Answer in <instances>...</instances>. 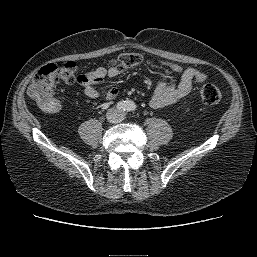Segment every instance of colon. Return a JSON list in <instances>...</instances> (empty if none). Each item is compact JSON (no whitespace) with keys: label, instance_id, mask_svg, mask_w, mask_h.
Returning a JSON list of instances; mask_svg holds the SVG:
<instances>
[{"label":"colon","instance_id":"1","mask_svg":"<svg viewBox=\"0 0 257 257\" xmlns=\"http://www.w3.org/2000/svg\"><path fill=\"white\" fill-rule=\"evenodd\" d=\"M143 60L144 57L140 53L125 52L112 60V66L116 67L121 72L141 64ZM164 64L175 72L183 71L179 65L171 63ZM195 76L198 81H204L206 78L205 75L198 70H196ZM80 80L81 75H77V66L74 62L68 61L61 66L48 64L35 74L31 85L28 87L27 93L43 110L54 113L61 108V101L53 94L55 84L61 82L71 85L77 81L80 82ZM221 97L222 95L219 88L213 84L205 83L200 88V98L206 105L218 104Z\"/></svg>","mask_w":257,"mask_h":257}]
</instances>
